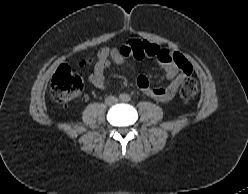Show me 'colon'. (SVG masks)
I'll list each match as a JSON object with an SVG mask.
<instances>
[{"instance_id": "5ec220e1", "label": "colon", "mask_w": 248, "mask_h": 194, "mask_svg": "<svg viewBox=\"0 0 248 194\" xmlns=\"http://www.w3.org/2000/svg\"><path fill=\"white\" fill-rule=\"evenodd\" d=\"M133 56L143 58L154 53V46L149 42L133 41ZM93 60L84 61L86 65L92 64ZM187 74L191 72V67L186 68ZM84 81L81 74L73 70L68 65H61L55 71L51 82L50 92L52 99L57 103H66L81 92ZM198 85L195 79L188 78L184 81L180 89V98L184 104H189L197 93Z\"/></svg>"}]
</instances>
